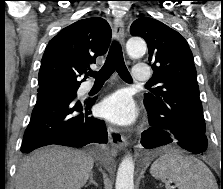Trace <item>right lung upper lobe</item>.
<instances>
[{
	"instance_id": "1",
	"label": "right lung upper lobe",
	"mask_w": 223,
	"mask_h": 189,
	"mask_svg": "<svg viewBox=\"0 0 223 189\" xmlns=\"http://www.w3.org/2000/svg\"><path fill=\"white\" fill-rule=\"evenodd\" d=\"M111 40V28L100 17L79 20L62 29L48 43L38 75V93L78 89L77 77L90 69L95 58L104 55Z\"/></svg>"
}]
</instances>
